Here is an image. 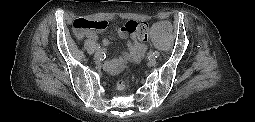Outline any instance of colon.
Instances as JSON below:
<instances>
[{
	"instance_id": "1",
	"label": "colon",
	"mask_w": 255,
	"mask_h": 122,
	"mask_svg": "<svg viewBox=\"0 0 255 122\" xmlns=\"http://www.w3.org/2000/svg\"><path fill=\"white\" fill-rule=\"evenodd\" d=\"M108 22L105 20H89L78 18L73 22V31L75 35L82 38L89 31H103L107 28ZM124 28L128 32H135L140 40H144L148 34V28L145 23H139L134 20L127 21ZM117 89L120 92H125L126 85L123 81L117 83Z\"/></svg>"
}]
</instances>
